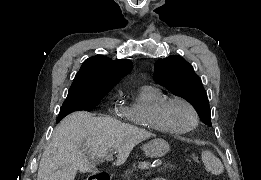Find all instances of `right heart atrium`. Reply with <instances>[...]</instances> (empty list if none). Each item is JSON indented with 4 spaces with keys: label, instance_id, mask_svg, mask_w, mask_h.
I'll use <instances>...</instances> for the list:
<instances>
[{
    "label": "right heart atrium",
    "instance_id": "1",
    "mask_svg": "<svg viewBox=\"0 0 261 180\" xmlns=\"http://www.w3.org/2000/svg\"><path fill=\"white\" fill-rule=\"evenodd\" d=\"M116 114H118V117H119V120H120V113L119 112H116ZM121 127H123L122 125H121Z\"/></svg>",
    "mask_w": 261,
    "mask_h": 180
}]
</instances>
